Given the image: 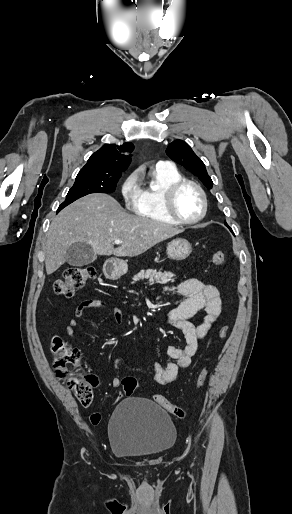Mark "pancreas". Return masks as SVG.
Returning <instances> with one entry per match:
<instances>
[{
	"label": "pancreas",
	"instance_id": "cf45deb5",
	"mask_svg": "<svg viewBox=\"0 0 292 514\" xmlns=\"http://www.w3.org/2000/svg\"><path fill=\"white\" fill-rule=\"evenodd\" d=\"M144 278H147V280L152 282V284H167V282H175L174 274H172V272H160V270L159 272H157V270H141V272H138V274L134 276V282H131V284H135V282H138V280H144Z\"/></svg>",
	"mask_w": 292,
	"mask_h": 514
}]
</instances>
